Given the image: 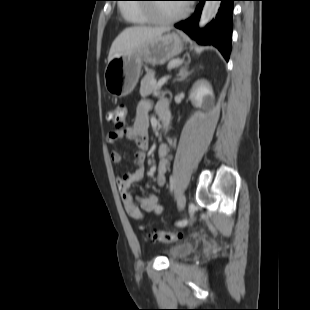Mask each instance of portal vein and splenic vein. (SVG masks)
Wrapping results in <instances>:
<instances>
[{"mask_svg":"<svg viewBox=\"0 0 310 310\" xmlns=\"http://www.w3.org/2000/svg\"><path fill=\"white\" fill-rule=\"evenodd\" d=\"M169 79V76L163 77L158 81L157 87H162Z\"/></svg>","mask_w":310,"mask_h":310,"instance_id":"1","label":"portal vein and splenic vein"}]
</instances>
